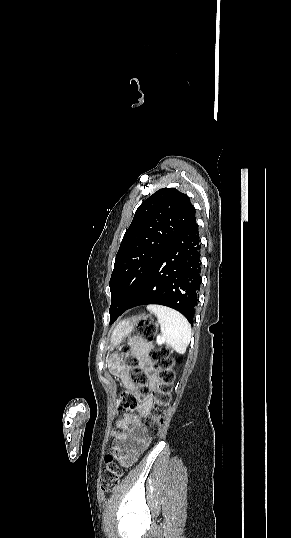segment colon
Returning <instances> with one entry per match:
<instances>
[{
    "label": "colon",
    "instance_id": "obj_1",
    "mask_svg": "<svg viewBox=\"0 0 291 538\" xmlns=\"http://www.w3.org/2000/svg\"><path fill=\"white\" fill-rule=\"evenodd\" d=\"M137 329L142 339L150 340L155 333V325L152 322H140ZM122 356V366L128 371L130 380L138 388L137 393L130 391L121 392L117 399V413L128 415L140 403L143 394L148 390L149 377L142 367L140 357L130 353V347L125 345L118 349ZM149 357L154 369L157 372L158 384L153 393L154 403L150 415L146 418L145 432L150 438L159 435L162 422L167 415L171 401V386L175 379V374L171 369L166 356L158 350H151ZM122 476V469L119 467L113 456L106 458V465L100 475V485L102 490L112 492L118 486Z\"/></svg>",
    "mask_w": 291,
    "mask_h": 538
}]
</instances>
